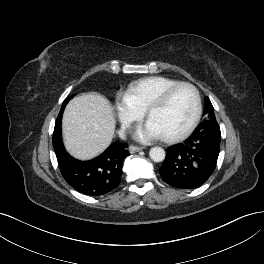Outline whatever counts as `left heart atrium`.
<instances>
[{
  "mask_svg": "<svg viewBox=\"0 0 264 264\" xmlns=\"http://www.w3.org/2000/svg\"><path fill=\"white\" fill-rule=\"evenodd\" d=\"M135 136L141 141H149L162 137L159 130L150 121H147L144 125L140 126L137 129Z\"/></svg>",
  "mask_w": 264,
  "mask_h": 264,
  "instance_id": "left-heart-atrium-1",
  "label": "left heart atrium"
}]
</instances>
